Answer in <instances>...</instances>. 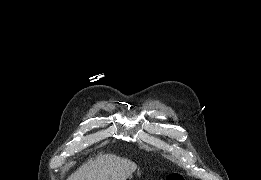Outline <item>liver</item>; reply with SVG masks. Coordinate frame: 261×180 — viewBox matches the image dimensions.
<instances>
[{"label":"liver","instance_id":"obj_1","mask_svg":"<svg viewBox=\"0 0 261 180\" xmlns=\"http://www.w3.org/2000/svg\"><path fill=\"white\" fill-rule=\"evenodd\" d=\"M137 164L112 154H99L89 158L77 168L68 180H127L135 172Z\"/></svg>","mask_w":261,"mask_h":180}]
</instances>
